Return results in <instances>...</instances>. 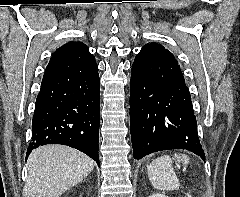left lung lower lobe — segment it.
Returning <instances> with one entry per match:
<instances>
[{
    "label": "left lung lower lobe",
    "mask_w": 240,
    "mask_h": 197,
    "mask_svg": "<svg viewBox=\"0 0 240 197\" xmlns=\"http://www.w3.org/2000/svg\"><path fill=\"white\" fill-rule=\"evenodd\" d=\"M130 132L135 159L186 149L205 161L191 96L182 74L138 70L130 79Z\"/></svg>",
    "instance_id": "left-lung-lower-lobe-1"
}]
</instances>
